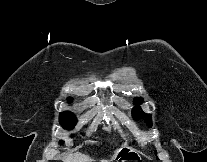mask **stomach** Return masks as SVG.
<instances>
[{"label": "stomach", "mask_w": 207, "mask_h": 162, "mask_svg": "<svg viewBox=\"0 0 207 162\" xmlns=\"http://www.w3.org/2000/svg\"><path fill=\"white\" fill-rule=\"evenodd\" d=\"M113 160L115 162H141L142 159L133 149L122 147L117 151Z\"/></svg>", "instance_id": "obj_1"}]
</instances>
